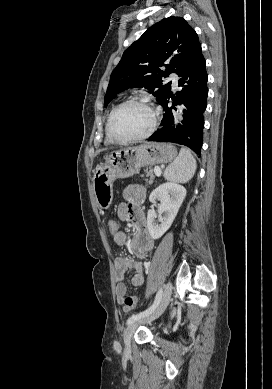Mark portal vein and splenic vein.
<instances>
[{
  "mask_svg": "<svg viewBox=\"0 0 272 389\" xmlns=\"http://www.w3.org/2000/svg\"><path fill=\"white\" fill-rule=\"evenodd\" d=\"M154 172H155V174H156L157 176H160V175H161V169H160V167H155V168H154Z\"/></svg>",
  "mask_w": 272,
  "mask_h": 389,
  "instance_id": "portal-vein-and-splenic-vein-1",
  "label": "portal vein and splenic vein"
}]
</instances>
